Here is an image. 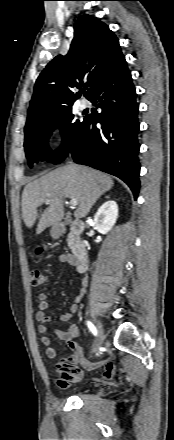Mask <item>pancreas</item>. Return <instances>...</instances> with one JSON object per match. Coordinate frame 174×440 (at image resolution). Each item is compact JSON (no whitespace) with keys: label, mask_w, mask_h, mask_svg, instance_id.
Here are the masks:
<instances>
[{"label":"pancreas","mask_w":174,"mask_h":440,"mask_svg":"<svg viewBox=\"0 0 174 440\" xmlns=\"http://www.w3.org/2000/svg\"><path fill=\"white\" fill-rule=\"evenodd\" d=\"M67 242H68V246L71 247V246H72V243H73V239H72L71 236L68 237Z\"/></svg>","instance_id":"cf45deb5"}]
</instances>
